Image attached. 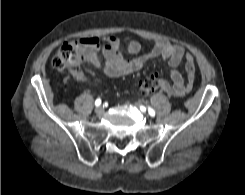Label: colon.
<instances>
[{
    "label": "colon",
    "instance_id": "obj_1",
    "mask_svg": "<svg viewBox=\"0 0 245 195\" xmlns=\"http://www.w3.org/2000/svg\"><path fill=\"white\" fill-rule=\"evenodd\" d=\"M86 62L84 48L77 42L64 43L52 59V66L57 71L69 70L75 76L81 75ZM162 80L156 74L149 75L141 82L140 92L149 95L161 87Z\"/></svg>",
    "mask_w": 245,
    "mask_h": 195
}]
</instances>
